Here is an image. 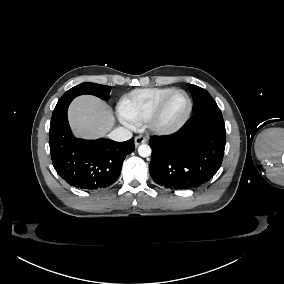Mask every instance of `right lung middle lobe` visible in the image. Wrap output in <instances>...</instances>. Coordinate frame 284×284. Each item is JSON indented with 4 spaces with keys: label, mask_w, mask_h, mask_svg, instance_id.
Returning a JSON list of instances; mask_svg holds the SVG:
<instances>
[{
    "label": "right lung middle lobe",
    "mask_w": 284,
    "mask_h": 284,
    "mask_svg": "<svg viewBox=\"0 0 284 284\" xmlns=\"http://www.w3.org/2000/svg\"><path fill=\"white\" fill-rule=\"evenodd\" d=\"M111 87L106 85L95 84L91 82H84L79 84L67 92L59 99L58 103L73 100L75 97L83 94L95 95L103 100H109Z\"/></svg>",
    "instance_id": "dd1d6c3e"
}]
</instances>
